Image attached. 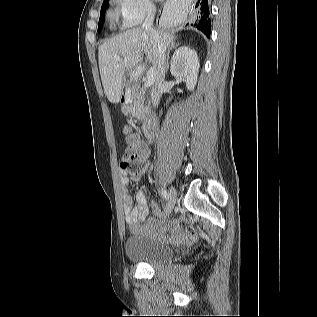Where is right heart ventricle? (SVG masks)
<instances>
[{
    "mask_svg": "<svg viewBox=\"0 0 317 317\" xmlns=\"http://www.w3.org/2000/svg\"><path fill=\"white\" fill-rule=\"evenodd\" d=\"M119 10H111L109 12L110 18L116 19L118 17Z\"/></svg>",
    "mask_w": 317,
    "mask_h": 317,
    "instance_id": "right-heart-ventricle-1",
    "label": "right heart ventricle"
}]
</instances>
